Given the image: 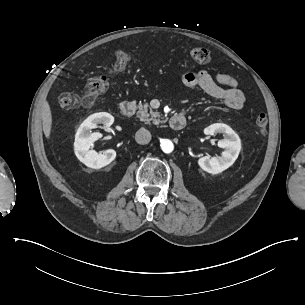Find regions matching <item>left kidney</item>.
Returning <instances> with one entry per match:
<instances>
[{
    "instance_id": "1",
    "label": "left kidney",
    "mask_w": 305,
    "mask_h": 305,
    "mask_svg": "<svg viewBox=\"0 0 305 305\" xmlns=\"http://www.w3.org/2000/svg\"><path fill=\"white\" fill-rule=\"evenodd\" d=\"M205 133L211 136L223 134L224 138L217 143L218 147L222 148L223 151L216 157H200L197 161L198 165L209 174L216 175L222 173L232 166L238 158L241 150L240 138L231 127L220 123L212 124L205 129Z\"/></svg>"
}]
</instances>
